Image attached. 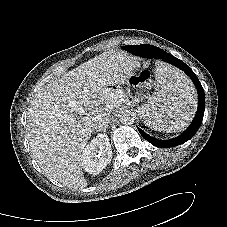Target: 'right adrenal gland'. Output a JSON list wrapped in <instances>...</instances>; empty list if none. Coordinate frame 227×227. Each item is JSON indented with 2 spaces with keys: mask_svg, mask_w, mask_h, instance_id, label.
<instances>
[{
  "mask_svg": "<svg viewBox=\"0 0 227 227\" xmlns=\"http://www.w3.org/2000/svg\"><path fill=\"white\" fill-rule=\"evenodd\" d=\"M107 127H108V125H106V126L104 127V129H103V130H104V132L106 131V128H107Z\"/></svg>",
  "mask_w": 227,
  "mask_h": 227,
  "instance_id": "1",
  "label": "right adrenal gland"
}]
</instances>
